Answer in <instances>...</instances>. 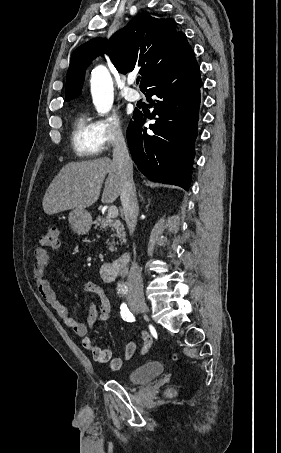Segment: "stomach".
<instances>
[{"label":"stomach","instance_id":"0dacf381","mask_svg":"<svg viewBox=\"0 0 281 453\" xmlns=\"http://www.w3.org/2000/svg\"><path fill=\"white\" fill-rule=\"evenodd\" d=\"M68 220L70 222V227H72L74 233H78V235H86L92 224V216L85 208H73V210L69 212Z\"/></svg>","mask_w":281,"mask_h":453}]
</instances>
